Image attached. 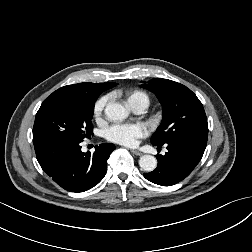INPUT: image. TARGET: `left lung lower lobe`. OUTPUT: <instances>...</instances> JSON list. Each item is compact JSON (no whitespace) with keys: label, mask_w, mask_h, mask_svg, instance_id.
<instances>
[{"label":"left lung lower lobe","mask_w":252,"mask_h":252,"mask_svg":"<svg viewBox=\"0 0 252 252\" xmlns=\"http://www.w3.org/2000/svg\"><path fill=\"white\" fill-rule=\"evenodd\" d=\"M207 141L187 137L167 143L168 152L156 155L157 168L144 177L158 185L171 186L185 179L201 160ZM161 147V145H158Z\"/></svg>","instance_id":"1"}]
</instances>
